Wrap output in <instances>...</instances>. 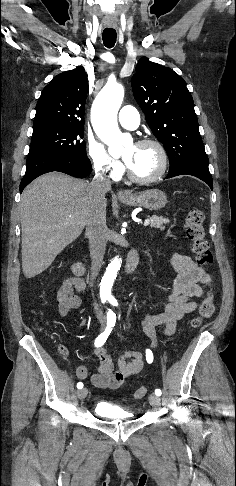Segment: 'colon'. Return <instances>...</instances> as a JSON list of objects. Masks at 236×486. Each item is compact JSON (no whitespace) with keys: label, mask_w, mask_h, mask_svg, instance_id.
<instances>
[{"label":"colon","mask_w":236,"mask_h":486,"mask_svg":"<svg viewBox=\"0 0 236 486\" xmlns=\"http://www.w3.org/2000/svg\"><path fill=\"white\" fill-rule=\"evenodd\" d=\"M185 227L186 236L192 243V251L195 254L197 262L203 266L211 265L213 262V254L210 250L209 241L206 238L203 212L198 208L191 207L186 213ZM214 299L215 294L213 291H210L200 304L197 316L192 320L193 327H199L213 315L215 311ZM61 352L64 353L63 348H61ZM146 393L147 389L140 387L134 392L133 397L139 400Z\"/></svg>","instance_id":"5ec220e1"}]
</instances>
